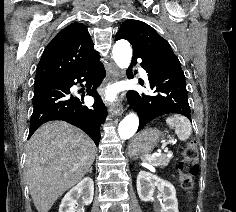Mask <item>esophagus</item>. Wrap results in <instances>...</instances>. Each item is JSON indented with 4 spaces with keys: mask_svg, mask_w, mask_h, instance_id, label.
Segmentation results:
<instances>
[{
    "mask_svg": "<svg viewBox=\"0 0 236 212\" xmlns=\"http://www.w3.org/2000/svg\"><path fill=\"white\" fill-rule=\"evenodd\" d=\"M108 80L109 82H117L119 80V71L115 66L110 70ZM108 110L111 116L120 115L123 112L122 99L119 98L115 104L109 105Z\"/></svg>",
    "mask_w": 236,
    "mask_h": 212,
    "instance_id": "1",
    "label": "esophagus"
}]
</instances>
